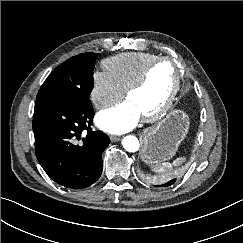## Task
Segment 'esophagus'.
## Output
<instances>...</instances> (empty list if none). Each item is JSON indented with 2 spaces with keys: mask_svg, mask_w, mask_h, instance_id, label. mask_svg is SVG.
<instances>
[{
  "mask_svg": "<svg viewBox=\"0 0 243 243\" xmlns=\"http://www.w3.org/2000/svg\"><path fill=\"white\" fill-rule=\"evenodd\" d=\"M120 139H121L120 136H116V135H111V136H110V140H111L112 142H117V141H119Z\"/></svg>",
  "mask_w": 243,
  "mask_h": 243,
  "instance_id": "esophagus-1",
  "label": "esophagus"
}]
</instances>
